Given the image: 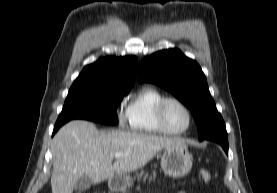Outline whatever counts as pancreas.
<instances>
[{
  "label": "pancreas",
  "instance_id": "pancreas-1",
  "mask_svg": "<svg viewBox=\"0 0 277 193\" xmlns=\"http://www.w3.org/2000/svg\"><path fill=\"white\" fill-rule=\"evenodd\" d=\"M149 176V173L148 172H145L144 170H141V171H139V172H137L136 173V177L138 178V179H141L142 177L145 179V178H147ZM155 177H156V172H153L152 173V175L150 176V178L152 179V178H154L155 179ZM134 179H135V177H134ZM133 181V179H131V182Z\"/></svg>",
  "mask_w": 277,
  "mask_h": 193
}]
</instances>
